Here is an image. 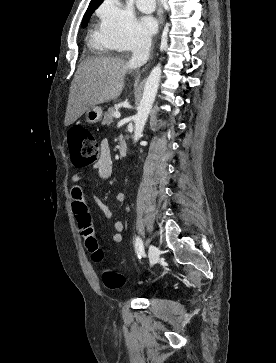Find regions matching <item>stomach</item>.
<instances>
[{"label":"stomach","instance_id":"stomach-1","mask_svg":"<svg viewBox=\"0 0 276 363\" xmlns=\"http://www.w3.org/2000/svg\"><path fill=\"white\" fill-rule=\"evenodd\" d=\"M103 115V111L101 107L94 106L89 108L85 113L86 121L90 124H95L101 121Z\"/></svg>","mask_w":276,"mask_h":363}]
</instances>
